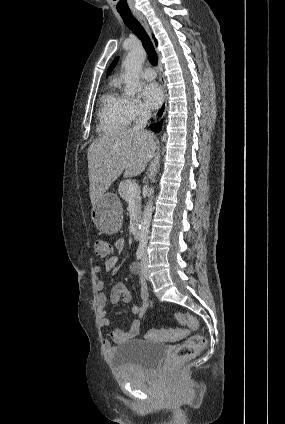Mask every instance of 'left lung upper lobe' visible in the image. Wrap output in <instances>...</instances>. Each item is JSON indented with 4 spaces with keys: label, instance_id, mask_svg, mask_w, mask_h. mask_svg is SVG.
<instances>
[{
    "label": "left lung upper lobe",
    "instance_id": "5c2ea615",
    "mask_svg": "<svg viewBox=\"0 0 285 424\" xmlns=\"http://www.w3.org/2000/svg\"><path fill=\"white\" fill-rule=\"evenodd\" d=\"M118 57L111 63V65L109 66V68H108V71H107V75H109L110 73H111V71L113 70V68L116 66V64H117V62H118Z\"/></svg>",
    "mask_w": 285,
    "mask_h": 424
}]
</instances>
